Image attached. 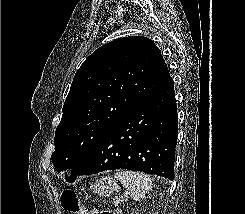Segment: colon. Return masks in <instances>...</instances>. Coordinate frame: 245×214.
Returning a JSON list of instances; mask_svg holds the SVG:
<instances>
[{"label": "colon", "instance_id": "obj_1", "mask_svg": "<svg viewBox=\"0 0 245 214\" xmlns=\"http://www.w3.org/2000/svg\"><path fill=\"white\" fill-rule=\"evenodd\" d=\"M62 208L74 214H98L95 210L84 207L73 190L66 189L61 196ZM101 214H122L120 210L113 208H105Z\"/></svg>", "mask_w": 245, "mask_h": 214}]
</instances>
